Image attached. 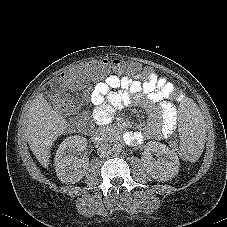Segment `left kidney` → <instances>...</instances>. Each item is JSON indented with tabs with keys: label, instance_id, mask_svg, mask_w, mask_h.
Returning a JSON list of instances; mask_svg holds the SVG:
<instances>
[{
	"label": "left kidney",
	"instance_id": "5707ae66",
	"mask_svg": "<svg viewBox=\"0 0 227 227\" xmlns=\"http://www.w3.org/2000/svg\"><path fill=\"white\" fill-rule=\"evenodd\" d=\"M161 155V158L154 160L151 152ZM143 157L147 163V172L157 181H168L179 172V158L175 151L159 142H149Z\"/></svg>",
	"mask_w": 227,
	"mask_h": 227
}]
</instances>
